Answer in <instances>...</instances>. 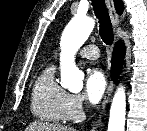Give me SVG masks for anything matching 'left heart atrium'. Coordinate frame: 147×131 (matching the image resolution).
Masks as SVG:
<instances>
[{
  "instance_id": "1",
  "label": "left heart atrium",
  "mask_w": 147,
  "mask_h": 131,
  "mask_svg": "<svg viewBox=\"0 0 147 131\" xmlns=\"http://www.w3.org/2000/svg\"><path fill=\"white\" fill-rule=\"evenodd\" d=\"M107 81L104 73L98 69H91L86 77L85 91L91 103H98L105 94Z\"/></svg>"
}]
</instances>
